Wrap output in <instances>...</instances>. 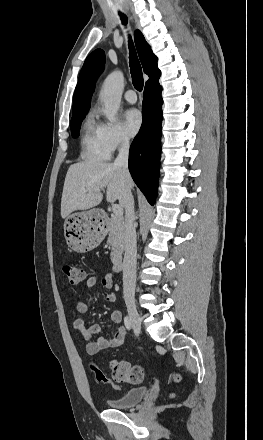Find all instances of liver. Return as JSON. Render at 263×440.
Here are the masks:
<instances>
[{
  "mask_svg": "<svg viewBox=\"0 0 263 440\" xmlns=\"http://www.w3.org/2000/svg\"><path fill=\"white\" fill-rule=\"evenodd\" d=\"M133 187L130 179L127 183ZM125 186L122 172L113 163L85 161L71 165L67 171L61 198V217L65 219L76 210H87L99 205L101 190L107 187L106 199L119 201ZM122 206V204L120 203Z\"/></svg>",
  "mask_w": 263,
  "mask_h": 440,
  "instance_id": "obj_1",
  "label": "liver"
}]
</instances>
